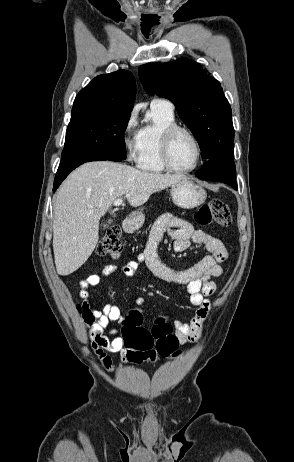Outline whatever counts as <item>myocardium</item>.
I'll list each match as a JSON object with an SVG mask.
<instances>
[{
	"label": "myocardium",
	"instance_id": "1",
	"mask_svg": "<svg viewBox=\"0 0 294 462\" xmlns=\"http://www.w3.org/2000/svg\"><path fill=\"white\" fill-rule=\"evenodd\" d=\"M178 133L187 134L192 139L196 147V158H195L193 165L189 168H185V169L177 168L173 165L171 161V157H170L171 144H172L174 137ZM160 157H161V162L166 170L173 172V173H180V174L189 173V172L194 171L200 164V161L202 158V146L197 136L190 129L184 126L177 125V124L172 125V126L167 127L162 132L161 141H160Z\"/></svg>",
	"mask_w": 294,
	"mask_h": 462
}]
</instances>
